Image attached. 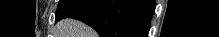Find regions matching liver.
Masks as SVG:
<instances>
[{"instance_id": "1", "label": "liver", "mask_w": 219, "mask_h": 37, "mask_svg": "<svg viewBox=\"0 0 219 37\" xmlns=\"http://www.w3.org/2000/svg\"><path fill=\"white\" fill-rule=\"evenodd\" d=\"M58 37H96V33L84 23L74 19H64L56 26Z\"/></svg>"}]
</instances>
